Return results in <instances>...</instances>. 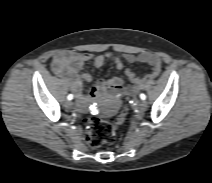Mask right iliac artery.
Returning <instances> with one entry per match:
<instances>
[{"label": "right iliac artery", "instance_id": "82829eb1", "mask_svg": "<svg viewBox=\"0 0 212 183\" xmlns=\"http://www.w3.org/2000/svg\"><path fill=\"white\" fill-rule=\"evenodd\" d=\"M67 99H68V100H72V99H73V95H72V94H69V95L67 96Z\"/></svg>", "mask_w": 212, "mask_h": 183}]
</instances>
